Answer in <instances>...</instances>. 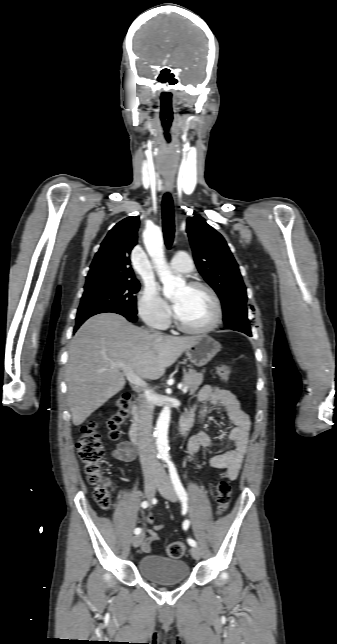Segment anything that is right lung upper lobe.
<instances>
[{"instance_id": "right-lung-upper-lobe-1", "label": "right lung upper lobe", "mask_w": 337, "mask_h": 644, "mask_svg": "<svg viewBox=\"0 0 337 644\" xmlns=\"http://www.w3.org/2000/svg\"><path fill=\"white\" fill-rule=\"evenodd\" d=\"M139 217L117 223L101 243L90 266L86 282L94 280H136L129 255L137 244Z\"/></svg>"}]
</instances>
